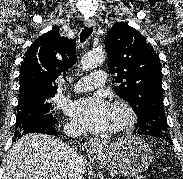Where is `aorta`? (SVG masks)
<instances>
[{"mask_svg": "<svg viewBox=\"0 0 183 179\" xmlns=\"http://www.w3.org/2000/svg\"><path fill=\"white\" fill-rule=\"evenodd\" d=\"M106 54L102 50H96L93 52H89L84 55L81 59V68L82 70H90L99 66L104 62Z\"/></svg>", "mask_w": 183, "mask_h": 179, "instance_id": "obj_1", "label": "aorta"}]
</instances>
